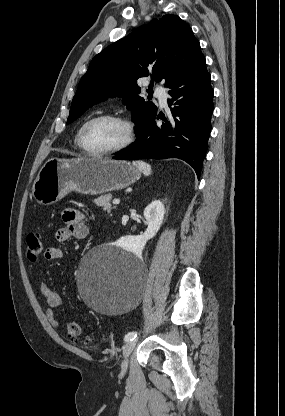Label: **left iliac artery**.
I'll return each instance as SVG.
<instances>
[{
    "instance_id": "1",
    "label": "left iliac artery",
    "mask_w": 285,
    "mask_h": 416,
    "mask_svg": "<svg viewBox=\"0 0 285 416\" xmlns=\"http://www.w3.org/2000/svg\"><path fill=\"white\" fill-rule=\"evenodd\" d=\"M137 337V332L133 331V332H129L128 334L125 335L124 340L130 341V340H134Z\"/></svg>"
}]
</instances>
